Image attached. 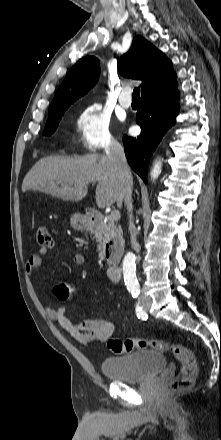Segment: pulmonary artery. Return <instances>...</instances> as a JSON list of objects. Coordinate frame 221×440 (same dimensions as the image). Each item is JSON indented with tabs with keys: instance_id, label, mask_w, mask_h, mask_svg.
Masks as SVG:
<instances>
[{
	"instance_id": "1",
	"label": "pulmonary artery",
	"mask_w": 221,
	"mask_h": 440,
	"mask_svg": "<svg viewBox=\"0 0 221 440\" xmlns=\"http://www.w3.org/2000/svg\"><path fill=\"white\" fill-rule=\"evenodd\" d=\"M119 103L124 108H129L132 104L131 89L128 87L123 88L119 96Z\"/></svg>"
}]
</instances>
